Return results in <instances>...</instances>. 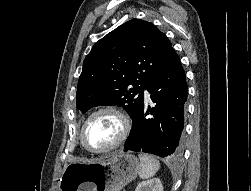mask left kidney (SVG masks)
<instances>
[{
  "label": "left kidney",
  "mask_w": 251,
  "mask_h": 191,
  "mask_svg": "<svg viewBox=\"0 0 251 191\" xmlns=\"http://www.w3.org/2000/svg\"><path fill=\"white\" fill-rule=\"evenodd\" d=\"M135 191H163V185L159 177H153V179H146V181H140Z\"/></svg>",
  "instance_id": "obj_1"
}]
</instances>
